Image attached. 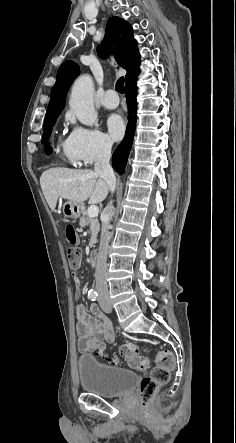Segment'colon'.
I'll list each match as a JSON object with an SVG mask.
<instances>
[{"mask_svg": "<svg viewBox=\"0 0 236 443\" xmlns=\"http://www.w3.org/2000/svg\"><path fill=\"white\" fill-rule=\"evenodd\" d=\"M65 234L70 243H75L77 241L76 229L72 224L66 225ZM67 259L70 269L72 271H77L81 264V250L76 247L68 249ZM91 352L94 357L100 361L111 365H118L117 358L108 357L105 354L104 343L95 344ZM119 353L126 360L128 367L138 371H145L148 369L149 359L146 355L141 353L139 347L135 343L125 342L121 344L119 347ZM155 362V366L140 383V399L143 405L148 404L157 390L168 382L170 371L174 366L173 355L168 351L159 353Z\"/></svg>", "mask_w": 236, "mask_h": 443, "instance_id": "5ec220e1", "label": "colon"}]
</instances>
